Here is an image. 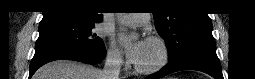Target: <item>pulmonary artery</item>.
Here are the masks:
<instances>
[{
	"label": "pulmonary artery",
	"mask_w": 255,
	"mask_h": 79,
	"mask_svg": "<svg viewBox=\"0 0 255 79\" xmlns=\"http://www.w3.org/2000/svg\"><path fill=\"white\" fill-rule=\"evenodd\" d=\"M150 21V14H127L121 19L123 24H143Z\"/></svg>",
	"instance_id": "obj_1"
}]
</instances>
